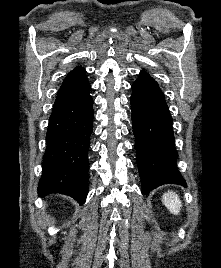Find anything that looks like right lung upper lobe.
I'll return each mask as SVG.
<instances>
[{"label":"right lung upper lobe","instance_id":"obj_1","mask_svg":"<svg viewBox=\"0 0 221 268\" xmlns=\"http://www.w3.org/2000/svg\"><path fill=\"white\" fill-rule=\"evenodd\" d=\"M89 89L86 71L81 66H77L64 79L54 104L76 100L89 92Z\"/></svg>","mask_w":221,"mask_h":268}]
</instances>
